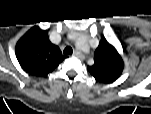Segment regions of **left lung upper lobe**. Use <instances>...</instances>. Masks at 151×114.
Returning a JSON list of instances; mask_svg holds the SVG:
<instances>
[{
	"label": "left lung upper lobe",
	"instance_id": "5c2ea615",
	"mask_svg": "<svg viewBox=\"0 0 151 114\" xmlns=\"http://www.w3.org/2000/svg\"><path fill=\"white\" fill-rule=\"evenodd\" d=\"M87 68L97 81L111 83L120 77L124 63L116 49L102 39L94 53V64Z\"/></svg>",
	"mask_w": 151,
	"mask_h": 114
}]
</instances>
